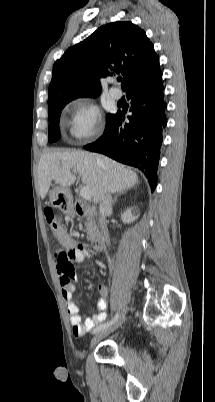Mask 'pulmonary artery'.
Segmentation results:
<instances>
[{"label": "pulmonary artery", "mask_w": 215, "mask_h": 402, "mask_svg": "<svg viewBox=\"0 0 215 402\" xmlns=\"http://www.w3.org/2000/svg\"><path fill=\"white\" fill-rule=\"evenodd\" d=\"M110 96L116 100L120 99L122 97V91L116 87H112L109 90Z\"/></svg>", "instance_id": "1"}]
</instances>
